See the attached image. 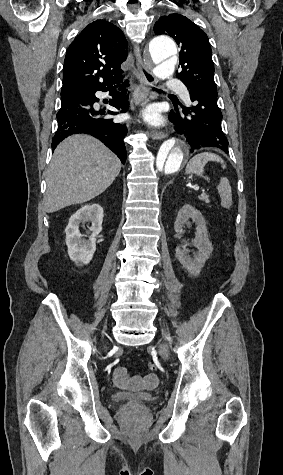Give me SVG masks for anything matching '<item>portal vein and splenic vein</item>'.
<instances>
[{
    "label": "portal vein and splenic vein",
    "mask_w": 283,
    "mask_h": 475,
    "mask_svg": "<svg viewBox=\"0 0 283 475\" xmlns=\"http://www.w3.org/2000/svg\"><path fill=\"white\" fill-rule=\"evenodd\" d=\"M199 194H200L201 196H204V195L207 194V191L204 190V189H201V190L199 191Z\"/></svg>",
    "instance_id": "obj_1"
}]
</instances>
